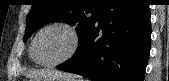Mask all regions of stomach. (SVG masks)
<instances>
[{
	"label": "stomach",
	"mask_w": 169,
	"mask_h": 81,
	"mask_svg": "<svg viewBox=\"0 0 169 81\" xmlns=\"http://www.w3.org/2000/svg\"><path fill=\"white\" fill-rule=\"evenodd\" d=\"M33 81H76L72 78H63V77H49V78H43V79H36Z\"/></svg>",
	"instance_id": "obj_1"
}]
</instances>
